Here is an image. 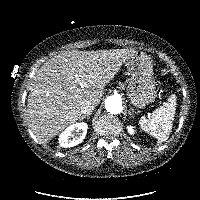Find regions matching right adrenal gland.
<instances>
[{
    "label": "right adrenal gland",
    "instance_id": "obj_1",
    "mask_svg": "<svg viewBox=\"0 0 200 200\" xmlns=\"http://www.w3.org/2000/svg\"><path fill=\"white\" fill-rule=\"evenodd\" d=\"M91 115H92V113H88L87 115H82L80 120L89 119Z\"/></svg>",
    "mask_w": 200,
    "mask_h": 200
}]
</instances>
